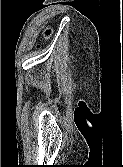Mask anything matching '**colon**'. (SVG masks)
I'll list each match as a JSON object with an SVG mask.
<instances>
[{"mask_svg":"<svg viewBox=\"0 0 123 167\" xmlns=\"http://www.w3.org/2000/svg\"><path fill=\"white\" fill-rule=\"evenodd\" d=\"M53 31L51 28H46L43 33V37L46 40H49L52 37Z\"/></svg>","mask_w":123,"mask_h":167,"instance_id":"1","label":"colon"}]
</instances>
